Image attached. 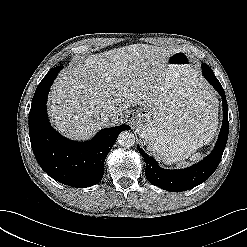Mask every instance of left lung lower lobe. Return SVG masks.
I'll list each match as a JSON object with an SVG mask.
<instances>
[{"label": "left lung lower lobe", "mask_w": 247, "mask_h": 247, "mask_svg": "<svg viewBox=\"0 0 247 247\" xmlns=\"http://www.w3.org/2000/svg\"><path fill=\"white\" fill-rule=\"evenodd\" d=\"M202 73L208 80V82L222 96L223 103V124L213 151L198 164H195L189 168L180 170H166L160 168L153 157H150L142 150V148L138 147L139 152L146 163L145 175L147 180L150 183L167 191H186L195 186H198L199 184L207 180L216 170L226 146L229 131V122L228 106L225 92L220 82L215 77L212 69L205 63L202 64Z\"/></svg>", "instance_id": "0a47b994"}]
</instances>
